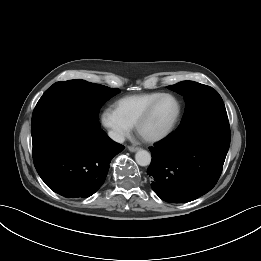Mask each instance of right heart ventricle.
<instances>
[{
    "label": "right heart ventricle",
    "mask_w": 261,
    "mask_h": 261,
    "mask_svg": "<svg viewBox=\"0 0 261 261\" xmlns=\"http://www.w3.org/2000/svg\"><path fill=\"white\" fill-rule=\"evenodd\" d=\"M160 92H148L124 96L114 103L116 112L132 126L147 108V106L158 97Z\"/></svg>",
    "instance_id": "1"
}]
</instances>
